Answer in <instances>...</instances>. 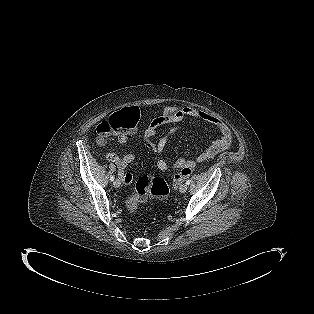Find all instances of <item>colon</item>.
Segmentation results:
<instances>
[{
  "instance_id": "colon-1",
  "label": "colon",
  "mask_w": 314,
  "mask_h": 314,
  "mask_svg": "<svg viewBox=\"0 0 314 314\" xmlns=\"http://www.w3.org/2000/svg\"><path fill=\"white\" fill-rule=\"evenodd\" d=\"M139 120V111L134 106L126 107L113 113L108 119L104 120L98 126L99 138L106 139L111 134H126L133 131ZM193 166H186L181 169L173 178V186L179 184L193 172ZM169 194L168 184L160 177L154 174H146L138 179L135 185V191L125 200V206L129 212L137 210L139 204L147 201L151 197L160 200L167 198Z\"/></svg>"
}]
</instances>
